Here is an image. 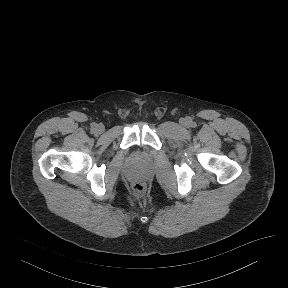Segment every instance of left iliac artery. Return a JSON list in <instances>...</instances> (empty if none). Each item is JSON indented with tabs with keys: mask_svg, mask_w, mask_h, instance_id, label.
I'll list each match as a JSON object with an SVG mask.
<instances>
[{
	"mask_svg": "<svg viewBox=\"0 0 288 288\" xmlns=\"http://www.w3.org/2000/svg\"><path fill=\"white\" fill-rule=\"evenodd\" d=\"M191 126H192V127H194V126H195V123H194V122H192V123H191Z\"/></svg>",
	"mask_w": 288,
	"mask_h": 288,
	"instance_id": "left-iliac-artery-1",
	"label": "left iliac artery"
}]
</instances>
